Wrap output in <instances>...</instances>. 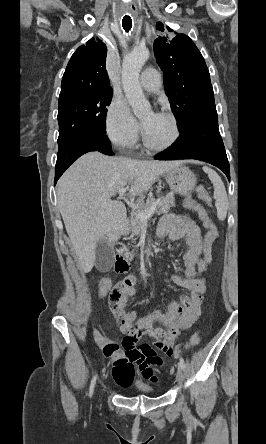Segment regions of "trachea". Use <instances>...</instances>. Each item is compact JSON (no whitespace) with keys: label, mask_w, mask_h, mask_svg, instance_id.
<instances>
[{"label":"trachea","mask_w":266,"mask_h":444,"mask_svg":"<svg viewBox=\"0 0 266 444\" xmlns=\"http://www.w3.org/2000/svg\"><path fill=\"white\" fill-rule=\"evenodd\" d=\"M122 27L125 30V32H129L132 28V19L130 16L126 15L122 19Z\"/></svg>","instance_id":"1"}]
</instances>
